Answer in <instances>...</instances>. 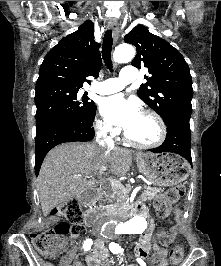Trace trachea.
Instances as JSON below:
<instances>
[{"mask_svg": "<svg viewBox=\"0 0 221 266\" xmlns=\"http://www.w3.org/2000/svg\"><path fill=\"white\" fill-rule=\"evenodd\" d=\"M113 39L112 31L107 30L104 34L103 44H102V57L107 68L112 71V61H111V51H112Z\"/></svg>", "mask_w": 221, "mask_h": 266, "instance_id": "3493384b", "label": "trachea"}]
</instances>
